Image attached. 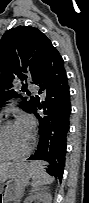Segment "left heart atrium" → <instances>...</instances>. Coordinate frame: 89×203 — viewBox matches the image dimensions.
Returning a JSON list of instances; mask_svg holds the SVG:
<instances>
[{
  "instance_id": "1",
  "label": "left heart atrium",
  "mask_w": 89,
  "mask_h": 203,
  "mask_svg": "<svg viewBox=\"0 0 89 203\" xmlns=\"http://www.w3.org/2000/svg\"><path fill=\"white\" fill-rule=\"evenodd\" d=\"M20 129L28 134V131L30 130L31 127V121L27 117H21L19 119V125Z\"/></svg>"
}]
</instances>
